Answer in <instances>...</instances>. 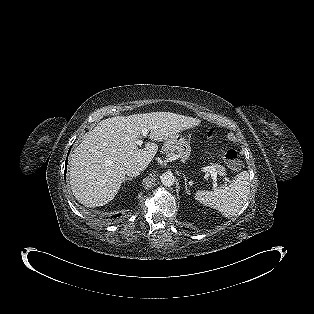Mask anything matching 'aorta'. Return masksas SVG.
<instances>
[{"label":"aorta","instance_id":"762f6f07","mask_svg":"<svg viewBox=\"0 0 314 314\" xmlns=\"http://www.w3.org/2000/svg\"><path fill=\"white\" fill-rule=\"evenodd\" d=\"M160 179L161 183L166 187H171L175 182L174 175L171 172H166L162 174Z\"/></svg>","mask_w":314,"mask_h":314}]
</instances>
